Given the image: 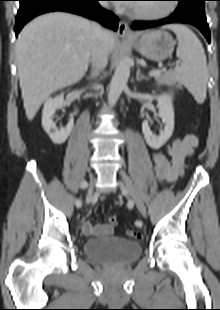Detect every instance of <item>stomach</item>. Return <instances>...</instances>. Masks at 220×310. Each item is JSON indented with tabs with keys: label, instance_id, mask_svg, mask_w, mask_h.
Masks as SVG:
<instances>
[{
	"label": "stomach",
	"instance_id": "1",
	"mask_svg": "<svg viewBox=\"0 0 220 310\" xmlns=\"http://www.w3.org/2000/svg\"><path fill=\"white\" fill-rule=\"evenodd\" d=\"M174 45L175 41L171 34L162 30L146 32L135 41L137 51L143 57L152 61H162L170 57Z\"/></svg>",
	"mask_w": 220,
	"mask_h": 310
}]
</instances>
